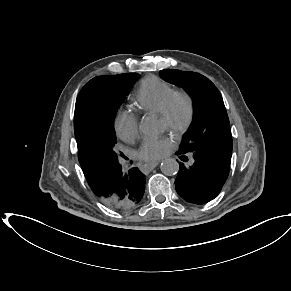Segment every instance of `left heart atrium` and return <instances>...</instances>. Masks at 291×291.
Listing matches in <instances>:
<instances>
[{
  "instance_id": "39dd6f15",
  "label": "left heart atrium",
  "mask_w": 291,
  "mask_h": 291,
  "mask_svg": "<svg viewBox=\"0 0 291 291\" xmlns=\"http://www.w3.org/2000/svg\"><path fill=\"white\" fill-rule=\"evenodd\" d=\"M172 140L168 136L146 138L137 151L138 158L145 161H156L163 158L169 151Z\"/></svg>"
}]
</instances>
